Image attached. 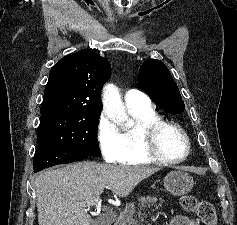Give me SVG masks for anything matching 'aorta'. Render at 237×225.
<instances>
[{"instance_id": "aorta-1", "label": "aorta", "mask_w": 237, "mask_h": 225, "mask_svg": "<svg viewBox=\"0 0 237 225\" xmlns=\"http://www.w3.org/2000/svg\"><path fill=\"white\" fill-rule=\"evenodd\" d=\"M103 110L113 122L122 124L126 128L134 125L133 120L129 119L124 105L121 101L118 88L113 84H106L102 94Z\"/></svg>"}]
</instances>
